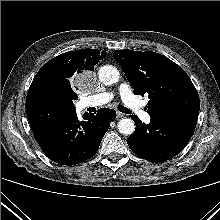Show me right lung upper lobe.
<instances>
[{
    "mask_svg": "<svg viewBox=\"0 0 220 220\" xmlns=\"http://www.w3.org/2000/svg\"><path fill=\"white\" fill-rule=\"evenodd\" d=\"M106 56L105 50L84 49L63 53L48 61L38 71L31 85L42 80H55L71 84L72 80L85 71H93L94 65Z\"/></svg>",
    "mask_w": 220,
    "mask_h": 220,
    "instance_id": "cb5924a9",
    "label": "right lung upper lobe"
}]
</instances>
